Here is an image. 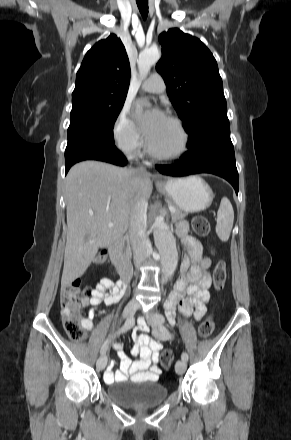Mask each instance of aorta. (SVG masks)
Returning <instances> with one entry per match:
<instances>
[{"mask_svg": "<svg viewBox=\"0 0 291 440\" xmlns=\"http://www.w3.org/2000/svg\"><path fill=\"white\" fill-rule=\"evenodd\" d=\"M161 53L157 47H151L139 54L137 60L139 77L145 79L151 67L158 62ZM155 245L161 255L162 273L167 280L174 272L177 265V248L175 238L169 227L163 221L153 224Z\"/></svg>", "mask_w": 291, "mask_h": 440, "instance_id": "obj_1", "label": "aorta"}]
</instances>
